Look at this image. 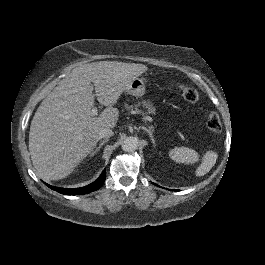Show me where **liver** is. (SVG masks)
I'll return each mask as SVG.
<instances>
[{"label": "liver", "mask_w": 265, "mask_h": 265, "mask_svg": "<svg viewBox=\"0 0 265 265\" xmlns=\"http://www.w3.org/2000/svg\"><path fill=\"white\" fill-rule=\"evenodd\" d=\"M147 69L143 64L100 61L76 67L60 81L31 121L29 152L38 175L47 180L67 177L95 148L100 129L115 127L119 111L113 105L127 83ZM95 96L106 106L99 117L91 113Z\"/></svg>", "instance_id": "obj_1"}]
</instances>
